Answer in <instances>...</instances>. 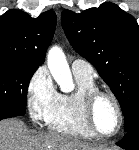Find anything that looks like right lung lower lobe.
Segmentation results:
<instances>
[{"label": "right lung lower lobe", "mask_w": 139, "mask_h": 150, "mask_svg": "<svg viewBox=\"0 0 139 150\" xmlns=\"http://www.w3.org/2000/svg\"><path fill=\"white\" fill-rule=\"evenodd\" d=\"M9 117H15V116L13 114H5V115L0 116V120L9 118Z\"/></svg>", "instance_id": "98d812e1"}]
</instances>
